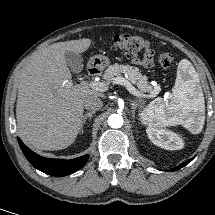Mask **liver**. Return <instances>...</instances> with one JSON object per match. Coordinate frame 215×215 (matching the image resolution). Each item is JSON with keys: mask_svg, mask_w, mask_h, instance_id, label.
I'll use <instances>...</instances> for the list:
<instances>
[{"mask_svg": "<svg viewBox=\"0 0 215 215\" xmlns=\"http://www.w3.org/2000/svg\"><path fill=\"white\" fill-rule=\"evenodd\" d=\"M88 38L54 43L33 53L18 76L16 118L20 135L39 150L71 145L81 127L84 99L99 96L94 89L73 84L65 53H83Z\"/></svg>", "mask_w": 215, "mask_h": 215, "instance_id": "1", "label": "liver"}]
</instances>
